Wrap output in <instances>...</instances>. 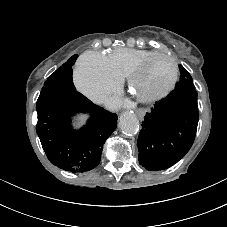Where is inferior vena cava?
<instances>
[{"label": "inferior vena cava", "instance_id": "1", "mask_svg": "<svg viewBox=\"0 0 227 227\" xmlns=\"http://www.w3.org/2000/svg\"><path fill=\"white\" fill-rule=\"evenodd\" d=\"M105 98H106L105 95H103L102 93H95L91 97V100L95 103H102Z\"/></svg>", "mask_w": 227, "mask_h": 227}]
</instances>
